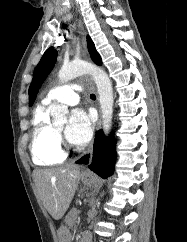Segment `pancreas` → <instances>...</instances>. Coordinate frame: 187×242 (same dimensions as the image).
<instances>
[{"mask_svg": "<svg viewBox=\"0 0 187 242\" xmlns=\"http://www.w3.org/2000/svg\"><path fill=\"white\" fill-rule=\"evenodd\" d=\"M78 214V210L76 208H73L68 214L66 224L70 227L74 226L77 222Z\"/></svg>", "mask_w": 187, "mask_h": 242, "instance_id": "pancreas-1", "label": "pancreas"}]
</instances>
